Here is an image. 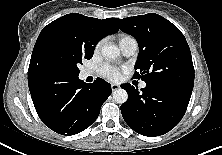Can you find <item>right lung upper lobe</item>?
<instances>
[{
  "instance_id": "1",
  "label": "right lung upper lobe",
  "mask_w": 222,
  "mask_h": 155,
  "mask_svg": "<svg viewBox=\"0 0 222 155\" xmlns=\"http://www.w3.org/2000/svg\"><path fill=\"white\" fill-rule=\"evenodd\" d=\"M60 29H73L80 32L85 41L94 48L100 39L118 31L116 18L100 20L77 13L67 14L48 24L39 34L30 60L28 85L31 94L47 93L58 78L44 64L41 46L49 34Z\"/></svg>"
}]
</instances>
